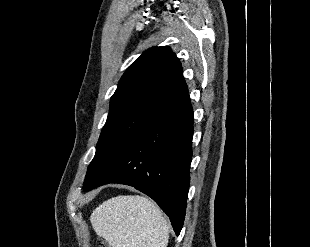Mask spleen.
Segmentation results:
<instances>
[{"instance_id": "1", "label": "spleen", "mask_w": 310, "mask_h": 247, "mask_svg": "<svg viewBox=\"0 0 310 247\" xmlns=\"http://www.w3.org/2000/svg\"><path fill=\"white\" fill-rule=\"evenodd\" d=\"M95 232L109 247H167L169 224L151 200L119 195L99 205L90 216Z\"/></svg>"}]
</instances>
